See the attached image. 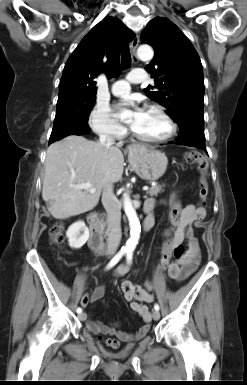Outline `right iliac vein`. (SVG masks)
<instances>
[{
	"label": "right iliac vein",
	"mask_w": 247,
	"mask_h": 385,
	"mask_svg": "<svg viewBox=\"0 0 247 385\" xmlns=\"http://www.w3.org/2000/svg\"><path fill=\"white\" fill-rule=\"evenodd\" d=\"M78 317H79L80 320L84 321L86 319V314L85 313H81V314H79Z\"/></svg>",
	"instance_id": "1"
}]
</instances>
